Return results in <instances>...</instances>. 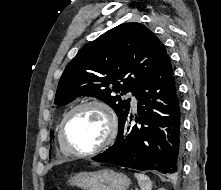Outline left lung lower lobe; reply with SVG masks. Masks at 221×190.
Returning a JSON list of instances; mask_svg holds the SVG:
<instances>
[{
    "label": "left lung lower lobe",
    "instance_id": "1",
    "mask_svg": "<svg viewBox=\"0 0 221 190\" xmlns=\"http://www.w3.org/2000/svg\"><path fill=\"white\" fill-rule=\"evenodd\" d=\"M140 125H131L128 112L119 123L115 143L92 158L141 171L156 170L167 175L181 171L183 138L180 101L168 55L135 93Z\"/></svg>",
    "mask_w": 221,
    "mask_h": 190
}]
</instances>
